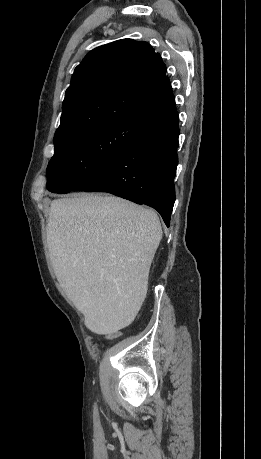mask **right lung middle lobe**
I'll return each instance as SVG.
<instances>
[{
    "mask_svg": "<svg viewBox=\"0 0 261 459\" xmlns=\"http://www.w3.org/2000/svg\"><path fill=\"white\" fill-rule=\"evenodd\" d=\"M148 127L121 120L62 138H54L47 167V189L68 193L118 157Z\"/></svg>",
    "mask_w": 261,
    "mask_h": 459,
    "instance_id": "obj_1",
    "label": "right lung middle lobe"
}]
</instances>
